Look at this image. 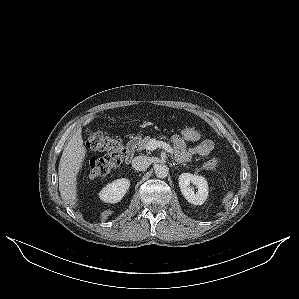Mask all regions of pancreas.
Here are the masks:
<instances>
[{"instance_id":"cf45deb5","label":"pancreas","mask_w":299,"mask_h":299,"mask_svg":"<svg viewBox=\"0 0 299 299\" xmlns=\"http://www.w3.org/2000/svg\"><path fill=\"white\" fill-rule=\"evenodd\" d=\"M152 140H156L155 138H150L149 136H146L142 139H140L137 143H136V148L138 151H142L144 149H146L148 143ZM177 159H179V157L177 156Z\"/></svg>"}]
</instances>
